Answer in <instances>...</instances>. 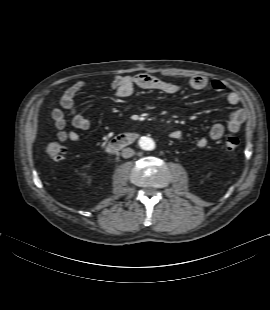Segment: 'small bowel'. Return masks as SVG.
I'll return each instance as SVG.
<instances>
[{
  "mask_svg": "<svg viewBox=\"0 0 270 310\" xmlns=\"http://www.w3.org/2000/svg\"><path fill=\"white\" fill-rule=\"evenodd\" d=\"M209 85L216 92H224L227 89V86L222 81L213 80L209 83L206 77L199 75L192 77L188 82L189 88L193 90H202ZM86 86L87 83L84 81L73 84L64 92L60 100V107L54 108L52 111V119L57 130L56 136L60 141L77 142L80 140V135L77 131L66 129L65 113L69 115L72 125L76 129L87 130L90 126V121L78 113L75 107V97ZM110 86L118 98H127L131 96L136 88L157 90L166 94H175L181 89L178 84L164 81L147 73L115 75L111 80ZM226 99L228 104L233 107L239 106L241 103L240 95L236 91H229ZM246 118L247 111L242 107L236 108L229 116L226 126L227 130L231 133L239 132ZM226 128L221 123L212 125L209 130L210 139H221ZM170 137L174 140H179L182 138V132L180 130H172L170 132ZM196 144L198 147L203 148L207 145V139L200 138L197 140Z\"/></svg>",
  "mask_w": 270,
  "mask_h": 310,
  "instance_id": "1",
  "label": "small bowel"
}]
</instances>
